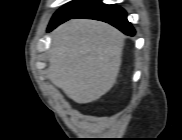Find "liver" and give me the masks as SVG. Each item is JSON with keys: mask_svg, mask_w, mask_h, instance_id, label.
I'll return each mask as SVG.
<instances>
[{"mask_svg": "<svg viewBox=\"0 0 182 140\" xmlns=\"http://www.w3.org/2000/svg\"><path fill=\"white\" fill-rule=\"evenodd\" d=\"M123 45L124 35L106 23L70 20L52 33L47 76L73 101H96L116 81Z\"/></svg>", "mask_w": 182, "mask_h": 140, "instance_id": "1", "label": "liver"}]
</instances>
